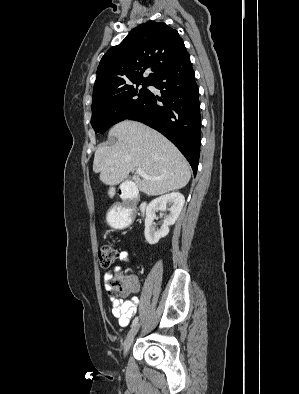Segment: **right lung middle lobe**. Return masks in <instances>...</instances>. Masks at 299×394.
Instances as JSON below:
<instances>
[{
  "label": "right lung middle lobe",
  "mask_w": 299,
  "mask_h": 394,
  "mask_svg": "<svg viewBox=\"0 0 299 394\" xmlns=\"http://www.w3.org/2000/svg\"><path fill=\"white\" fill-rule=\"evenodd\" d=\"M142 84V88H138ZM151 82H137L93 94L91 125L95 133H104L112 125L123 121L147 97Z\"/></svg>",
  "instance_id": "dd1d6c3e"
}]
</instances>
